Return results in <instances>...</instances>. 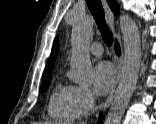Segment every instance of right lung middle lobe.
<instances>
[{
  "label": "right lung middle lobe",
  "instance_id": "obj_1",
  "mask_svg": "<svg viewBox=\"0 0 156 124\" xmlns=\"http://www.w3.org/2000/svg\"><path fill=\"white\" fill-rule=\"evenodd\" d=\"M49 76L50 75H46V76H42V84H41V89L43 91H45L49 85Z\"/></svg>",
  "mask_w": 156,
  "mask_h": 124
}]
</instances>
